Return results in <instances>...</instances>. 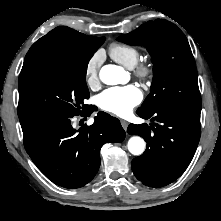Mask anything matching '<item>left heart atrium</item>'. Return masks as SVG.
I'll list each match as a JSON object with an SVG mask.
<instances>
[{
    "mask_svg": "<svg viewBox=\"0 0 221 221\" xmlns=\"http://www.w3.org/2000/svg\"><path fill=\"white\" fill-rule=\"evenodd\" d=\"M141 100L142 92L135 85L110 87L97 97L101 109L118 116L129 114Z\"/></svg>",
    "mask_w": 221,
    "mask_h": 221,
    "instance_id": "obj_1",
    "label": "left heart atrium"
}]
</instances>
